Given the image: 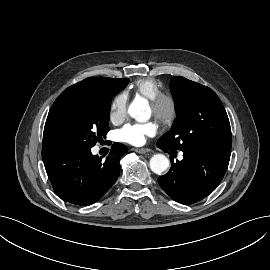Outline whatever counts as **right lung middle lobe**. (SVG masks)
I'll use <instances>...</instances> for the list:
<instances>
[{"instance_id": "obj_1", "label": "right lung middle lobe", "mask_w": 270, "mask_h": 270, "mask_svg": "<svg viewBox=\"0 0 270 270\" xmlns=\"http://www.w3.org/2000/svg\"><path fill=\"white\" fill-rule=\"evenodd\" d=\"M128 82V78L121 79L107 92L58 96L47 116L43 148H92L109 131L111 100Z\"/></svg>"}]
</instances>
